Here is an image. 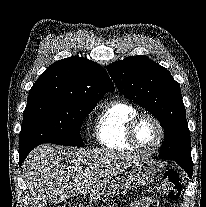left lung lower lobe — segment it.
Returning a JSON list of instances; mask_svg holds the SVG:
<instances>
[{
  "mask_svg": "<svg viewBox=\"0 0 206 207\" xmlns=\"http://www.w3.org/2000/svg\"><path fill=\"white\" fill-rule=\"evenodd\" d=\"M179 165L188 173V175L191 177L192 175V169L188 166H186L185 164L183 163H179Z\"/></svg>",
  "mask_w": 206,
  "mask_h": 207,
  "instance_id": "0a47b994",
  "label": "left lung lower lobe"
}]
</instances>
